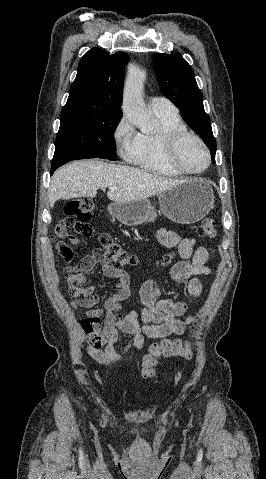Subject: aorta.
Here are the masks:
<instances>
[{
    "label": "aorta",
    "instance_id": "1",
    "mask_svg": "<svg viewBox=\"0 0 266 479\" xmlns=\"http://www.w3.org/2000/svg\"><path fill=\"white\" fill-rule=\"evenodd\" d=\"M145 72L137 66L129 68L124 87L123 113L142 132H151L158 127V121L143 101Z\"/></svg>",
    "mask_w": 266,
    "mask_h": 479
}]
</instances>
